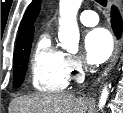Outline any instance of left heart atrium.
Segmentation results:
<instances>
[{"mask_svg": "<svg viewBox=\"0 0 123 113\" xmlns=\"http://www.w3.org/2000/svg\"><path fill=\"white\" fill-rule=\"evenodd\" d=\"M84 48L90 63H102L110 57L113 51L112 37L103 28L93 29L85 35Z\"/></svg>", "mask_w": 123, "mask_h": 113, "instance_id": "1", "label": "left heart atrium"}]
</instances>
